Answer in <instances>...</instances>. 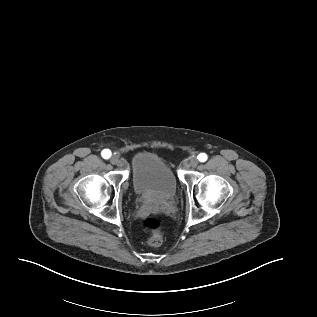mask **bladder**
Segmentation results:
<instances>
[{"mask_svg": "<svg viewBox=\"0 0 317 317\" xmlns=\"http://www.w3.org/2000/svg\"><path fill=\"white\" fill-rule=\"evenodd\" d=\"M131 182L138 198L161 204L176 195L177 178L169 164L157 155L138 153L132 160Z\"/></svg>", "mask_w": 317, "mask_h": 317, "instance_id": "bladder-1", "label": "bladder"}]
</instances>
